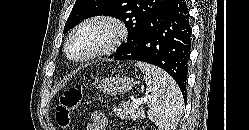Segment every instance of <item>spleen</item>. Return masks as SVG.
<instances>
[{
    "label": "spleen",
    "mask_w": 249,
    "mask_h": 130,
    "mask_svg": "<svg viewBox=\"0 0 249 130\" xmlns=\"http://www.w3.org/2000/svg\"><path fill=\"white\" fill-rule=\"evenodd\" d=\"M135 65L147 85L148 117L159 130H175L182 112V94L173 78L161 68L144 62Z\"/></svg>",
    "instance_id": "obj_1"
}]
</instances>
